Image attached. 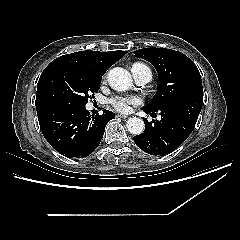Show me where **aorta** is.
Returning <instances> with one entry per match:
<instances>
[{"label":"aorta","mask_w":240,"mask_h":240,"mask_svg":"<svg viewBox=\"0 0 240 240\" xmlns=\"http://www.w3.org/2000/svg\"><path fill=\"white\" fill-rule=\"evenodd\" d=\"M107 78L110 87L117 91H126L132 86L131 74L121 67L112 68ZM126 127L131 134L140 135L144 131L145 123L141 118L131 117L127 120Z\"/></svg>","instance_id":"762f6f07"}]
</instances>
